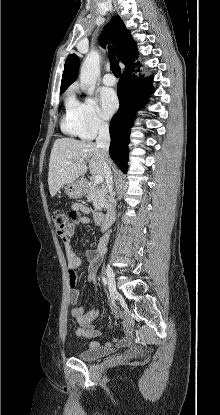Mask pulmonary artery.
Here are the masks:
<instances>
[{
  "mask_svg": "<svg viewBox=\"0 0 220 415\" xmlns=\"http://www.w3.org/2000/svg\"><path fill=\"white\" fill-rule=\"evenodd\" d=\"M116 82V78L112 73H107L103 77V83L107 86H114Z\"/></svg>",
  "mask_w": 220,
  "mask_h": 415,
  "instance_id": "pulmonary-artery-1",
  "label": "pulmonary artery"
}]
</instances>
